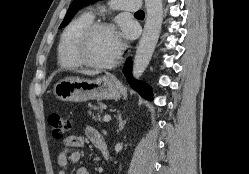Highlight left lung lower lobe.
<instances>
[{
	"label": "left lung lower lobe",
	"instance_id": "left-lung-lower-lobe-1",
	"mask_svg": "<svg viewBox=\"0 0 249 174\" xmlns=\"http://www.w3.org/2000/svg\"><path fill=\"white\" fill-rule=\"evenodd\" d=\"M130 59L129 62L127 63V65L125 66L124 69V74L125 76L128 78V82L131 85V87L133 89H135L136 91L139 92V94L141 96H143L145 99L148 100H152V94H151V90L148 86H146L145 84L136 81L133 77H132V73H131V64H130Z\"/></svg>",
	"mask_w": 249,
	"mask_h": 174
}]
</instances>
